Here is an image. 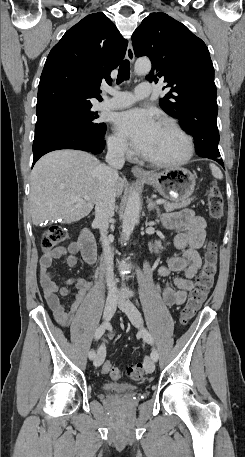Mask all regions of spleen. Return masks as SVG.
Masks as SVG:
<instances>
[{
	"mask_svg": "<svg viewBox=\"0 0 245 457\" xmlns=\"http://www.w3.org/2000/svg\"><path fill=\"white\" fill-rule=\"evenodd\" d=\"M209 166H210V170H211L213 176H215V178H223V174H222L219 166H216V164H213V162H210Z\"/></svg>",
	"mask_w": 245,
	"mask_h": 457,
	"instance_id": "1",
	"label": "spleen"
}]
</instances>
